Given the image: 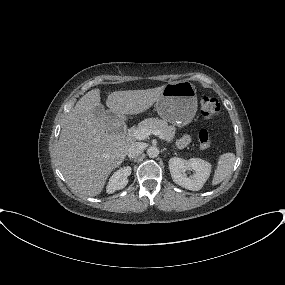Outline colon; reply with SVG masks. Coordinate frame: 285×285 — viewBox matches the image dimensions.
Here are the masks:
<instances>
[{
    "label": "colon",
    "mask_w": 285,
    "mask_h": 285,
    "mask_svg": "<svg viewBox=\"0 0 285 285\" xmlns=\"http://www.w3.org/2000/svg\"><path fill=\"white\" fill-rule=\"evenodd\" d=\"M200 111L204 118L212 119L220 112L219 101L210 96H204L200 99ZM198 144L201 149H208L211 141L206 130H201L198 137Z\"/></svg>",
    "instance_id": "5ec220e1"
}]
</instances>
